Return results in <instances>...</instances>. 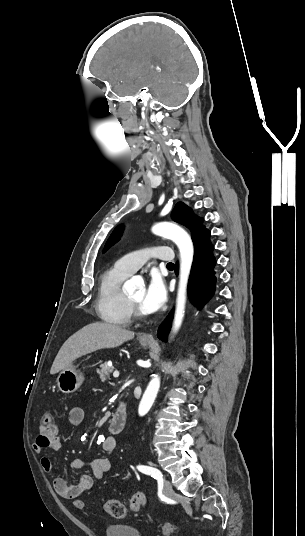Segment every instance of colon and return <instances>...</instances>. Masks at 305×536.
Masks as SVG:
<instances>
[{"label": "colon", "instance_id": "5ec220e1", "mask_svg": "<svg viewBox=\"0 0 305 536\" xmlns=\"http://www.w3.org/2000/svg\"><path fill=\"white\" fill-rule=\"evenodd\" d=\"M43 426H52L53 417L49 413H45L42 417ZM70 503L72 506L77 507L78 511L84 513L87 511V504L81 502L80 498L74 496L71 498ZM147 506V499L143 492H135L130 500L129 509L132 511H139L145 509ZM103 509L106 513L116 519H122L128 515V508L118 499H108L104 505Z\"/></svg>", "mask_w": 305, "mask_h": 536}]
</instances>
